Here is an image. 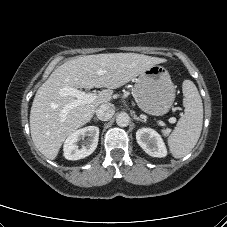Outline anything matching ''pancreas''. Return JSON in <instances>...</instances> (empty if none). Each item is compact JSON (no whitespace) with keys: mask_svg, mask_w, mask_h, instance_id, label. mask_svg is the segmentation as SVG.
Returning <instances> with one entry per match:
<instances>
[{"mask_svg":"<svg viewBox=\"0 0 227 227\" xmlns=\"http://www.w3.org/2000/svg\"><path fill=\"white\" fill-rule=\"evenodd\" d=\"M169 130L164 131L165 134H168Z\"/></svg>","mask_w":227,"mask_h":227,"instance_id":"obj_1","label":"pancreas"}]
</instances>
